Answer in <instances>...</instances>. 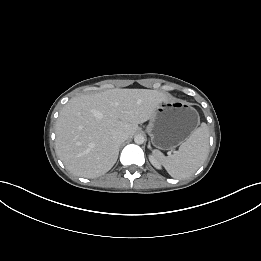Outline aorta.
Masks as SVG:
<instances>
[{
  "label": "aorta",
  "mask_w": 261,
  "mask_h": 261,
  "mask_svg": "<svg viewBox=\"0 0 261 261\" xmlns=\"http://www.w3.org/2000/svg\"><path fill=\"white\" fill-rule=\"evenodd\" d=\"M134 142L136 144H143L145 142V137L141 134H138L134 137Z\"/></svg>",
  "instance_id": "obj_1"
}]
</instances>
